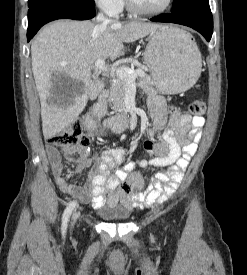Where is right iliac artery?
<instances>
[{
    "instance_id": "obj_1",
    "label": "right iliac artery",
    "mask_w": 247,
    "mask_h": 275,
    "mask_svg": "<svg viewBox=\"0 0 247 275\" xmlns=\"http://www.w3.org/2000/svg\"><path fill=\"white\" fill-rule=\"evenodd\" d=\"M77 202L76 201H72L70 202L64 213H63V218H62V233L64 234L66 232V228H67V222L69 221L70 215L73 211V209L76 207Z\"/></svg>"
}]
</instances>
